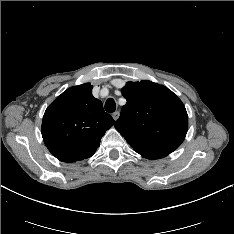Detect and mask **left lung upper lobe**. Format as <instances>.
<instances>
[{"label":"left lung upper lobe","mask_w":234,"mask_h":234,"mask_svg":"<svg viewBox=\"0 0 234 234\" xmlns=\"http://www.w3.org/2000/svg\"><path fill=\"white\" fill-rule=\"evenodd\" d=\"M127 103L115 128L135 151L171 153L183 142L188 117L182 101L167 87L143 80L121 90Z\"/></svg>","instance_id":"obj_1"}]
</instances>
